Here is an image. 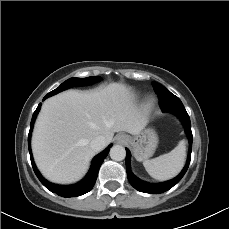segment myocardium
I'll use <instances>...</instances> for the list:
<instances>
[{
    "mask_svg": "<svg viewBox=\"0 0 229 229\" xmlns=\"http://www.w3.org/2000/svg\"><path fill=\"white\" fill-rule=\"evenodd\" d=\"M149 102H150L151 104H153V103L155 102L154 98H150V99H149Z\"/></svg>",
    "mask_w": 229,
    "mask_h": 229,
    "instance_id": "f54148a6",
    "label": "myocardium"
}]
</instances>
